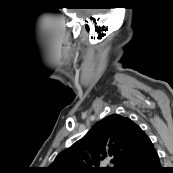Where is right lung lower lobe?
I'll return each instance as SVG.
<instances>
[{
	"instance_id": "obj_1",
	"label": "right lung lower lobe",
	"mask_w": 173,
	"mask_h": 173,
	"mask_svg": "<svg viewBox=\"0 0 173 173\" xmlns=\"http://www.w3.org/2000/svg\"><path fill=\"white\" fill-rule=\"evenodd\" d=\"M119 173H164L154 147L128 161Z\"/></svg>"
}]
</instances>
